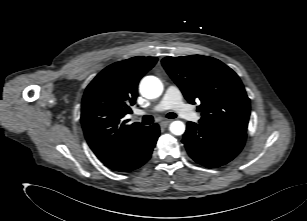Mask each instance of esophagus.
<instances>
[{
	"label": "esophagus",
	"instance_id": "obj_1",
	"mask_svg": "<svg viewBox=\"0 0 307 221\" xmlns=\"http://www.w3.org/2000/svg\"><path fill=\"white\" fill-rule=\"evenodd\" d=\"M171 120H164L160 123L161 127H167L170 124Z\"/></svg>",
	"mask_w": 307,
	"mask_h": 221
}]
</instances>
